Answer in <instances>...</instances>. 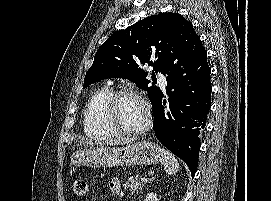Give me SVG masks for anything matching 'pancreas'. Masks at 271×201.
Segmentation results:
<instances>
[{"mask_svg": "<svg viewBox=\"0 0 271 201\" xmlns=\"http://www.w3.org/2000/svg\"><path fill=\"white\" fill-rule=\"evenodd\" d=\"M142 182L141 180L138 178V177H132V178H129L124 184H123V188L126 190V189H129L131 192H135L137 191L138 189L141 188L142 186Z\"/></svg>", "mask_w": 271, "mask_h": 201, "instance_id": "cf45deb5", "label": "pancreas"}]
</instances>
